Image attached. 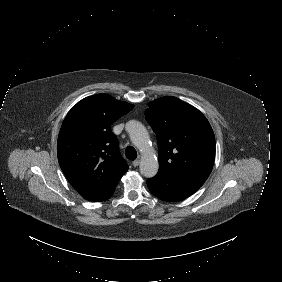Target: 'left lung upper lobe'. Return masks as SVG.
Listing matches in <instances>:
<instances>
[{"label": "left lung upper lobe", "mask_w": 282, "mask_h": 282, "mask_svg": "<svg viewBox=\"0 0 282 282\" xmlns=\"http://www.w3.org/2000/svg\"><path fill=\"white\" fill-rule=\"evenodd\" d=\"M148 106L145 117L158 140V173L207 179L215 159V137L206 117L176 97H162Z\"/></svg>", "instance_id": "left-lung-upper-lobe-1"}]
</instances>
